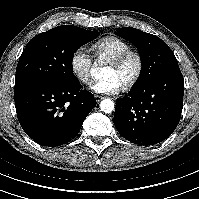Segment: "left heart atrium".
I'll return each mask as SVG.
<instances>
[{"label": "left heart atrium", "mask_w": 199, "mask_h": 199, "mask_svg": "<svg viewBox=\"0 0 199 199\" xmlns=\"http://www.w3.org/2000/svg\"><path fill=\"white\" fill-rule=\"evenodd\" d=\"M123 84L116 77H107L90 84V89L98 94H117Z\"/></svg>", "instance_id": "1"}]
</instances>
